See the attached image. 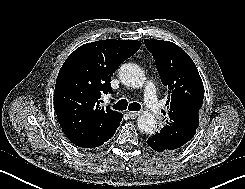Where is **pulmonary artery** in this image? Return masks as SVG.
<instances>
[{"mask_svg": "<svg viewBox=\"0 0 245 189\" xmlns=\"http://www.w3.org/2000/svg\"><path fill=\"white\" fill-rule=\"evenodd\" d=\"M145 100L152 111L157 110L156 89L151 81L146 84Z\"/></svg>", "mask_w": 245, "mask_h": 189, "instance_id": "obj_1", "label": "pulmonary artery"}]
</instances>
